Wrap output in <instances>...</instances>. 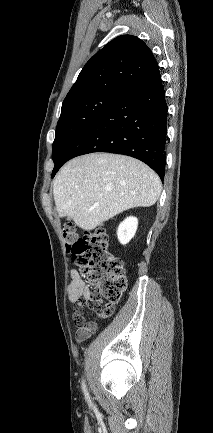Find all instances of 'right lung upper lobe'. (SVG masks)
Here are the masks:
<instances>
[{"label":"right lung upper lobe","instance_id":"obj_1","mask_svg":"<svg viewBox=\"0 0 213 433\" xmlns=\"http://www.w3.org/2000/svg\"><path fill=\"white\" fill-rule=\"evenodd\" d=\"M156 65L142 40L132 35L118 36L85 64L63 104L102 92L122 94Z\"/></svg>","mask_w":213,"mask_h":433}]
</instances>
